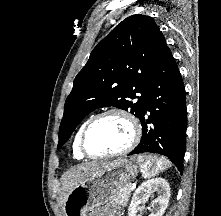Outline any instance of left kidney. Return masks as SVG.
Masks as SVG:
<instances>
[{
  "mask_svg": "<svg viewBox=\"0 0 221 216\" xmlns=\"http://www.w3.org/2000/svg\"><path fill=\"white\" fill-rule=\"evenodd\" d=\"M154 192H157L158 196L153 202L149 216H162L168 206L170 187L168 182L160 177L147 180L137 188L128 208V215L136 216L138 205Z\"/></svg>",
  "mask_w": 221,
  "mask_h": 216,
  "instance_id": "obj_1",
  "label": "left kidney"
}]
</instances>
